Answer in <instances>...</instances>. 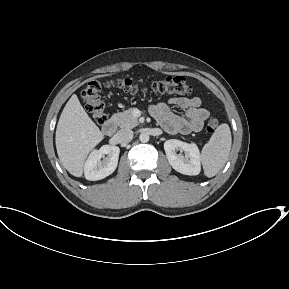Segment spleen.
<instances>
[{"label":"spleen","mask_w":289,"mask_h":289,"mask_svg":"<svg viewBox=\"0 0 289 289\" xmlns=\"http://www.w3.org/2000/svg\"><path fill=\"white\" fill-rule=\"evenodd\" d=\"M232 138L229 125L217 127L201 152V161L206 177H214L225 165L231 150Z\"/></svg>","instance_id":"3e777b00"}]
</instances>
